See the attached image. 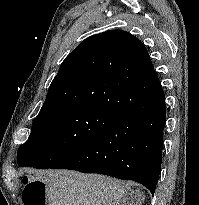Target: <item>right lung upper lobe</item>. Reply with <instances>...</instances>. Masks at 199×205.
<instances>
[{
	"instance_id": "right-lung-upper-lobe-1",
	"label": "right lung upper lobe",
	"mask_w": 199,
	"mask_h": 205,
	"mask_svg": "<svg viewBox=\"0 0 199 205\" xmlns=\"http://www.w3.org/2000/svg\"><path fill=\"white\" fill-rule=\"evenodd\" d=\"M158 79L144 44L122 30H108L83 40L62 62L41 111L92 106L116 116L144 95L131 83Z\"/></svg>"
}]
</instances>
